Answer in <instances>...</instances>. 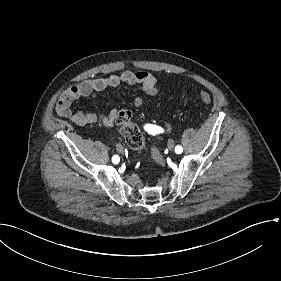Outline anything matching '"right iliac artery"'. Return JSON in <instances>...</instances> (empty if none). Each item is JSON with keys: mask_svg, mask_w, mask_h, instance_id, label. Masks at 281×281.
I'll list each match as a JSON object with an SVG mask.
<instances>
[{"mask_svg": "<svg viewBox=\"0 0 281 281\" xmlns=\"http://www.w3.org/2000/svg\"><path fill=\"white\" fill-rule=\"evenodd\" d=\"M119 157L117 156V155H114L113 157H112V162L113 163H118L119 162Z\"/></svg>", "mask_w": 281, "mask_h": 281, "instance_id": "1", "label": "right iliac artery"}]
</instances>
